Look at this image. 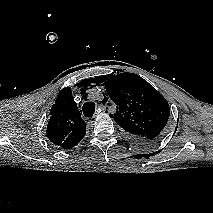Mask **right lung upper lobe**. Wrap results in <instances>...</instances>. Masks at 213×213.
<instances>
[{"label":"right lung upper lobe","mask_w":213,"mask_h":213,"mask_svg":"<svg viewBox=\"0 0 213 213\" xmlns=\"http://www.w3.org/2000/svg\"><path fill=\"white\" fill-rule=\"evenodd\" d=\"M47 136L57 147L70 149L86 134V124L81 118L69 87L61 90L50 110Z\"/></svg>","instance_id":"cb5924a9"}]
</instances>
